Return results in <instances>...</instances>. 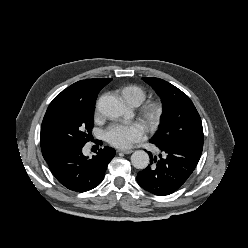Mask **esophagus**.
<instances>
[{
  "label": "esophagus",
  "instance_id": "obj_1",
  "mask_svg": "<svg viewBox=\"0 0 248 248\" xmlns=\"http://www.w3.org/2000/svg\"><path fill=\"white\" fill-rule=\"evenodd\" d=\"M118 151L124 154H131L133 152L132 149H119Z\"/></svg>",
  "mask_w": 248,
  "mask_h": 248
}]
</instances>
